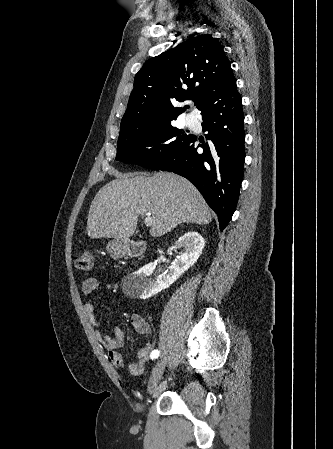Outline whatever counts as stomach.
Returning a JSON list of instances; mask_svg holds the SVG:
<instances>
[{
  "mask_svg": "<svg viewBox=\"0 0 333 449\" xmlns=\"http://www.w3.org/2000/svg\"><path fill=\"white\" fill-rule=\"evenodd\" d=\"M108 253L115 258L122 257L125 254V249L120 240L109 242L106 247Z\"/></svg>",
  "mask_w": 333,
  "mask_h": 449,
  "instance_id": "0dacf381",
  "label": "stomach"
}]
</instances>
